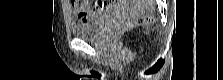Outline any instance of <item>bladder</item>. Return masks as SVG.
Listing matches in <instances>:
<instances>
[{"mask_svg":"<svg viewBox=\"0 0 223 80\" xmlns=\"http://www.w3.org/2000/svg\"><path fill=\"white\" fill-rule=\"evenodd\" d=\"M110 16V12H105L88 21L73 23L71 25L72 34L79 39L95 40L102 33Z\"/></svg>","mask_w":223,"mask_h":80,"instance_id":"bladder-1","label":"bladder"}]
</instances>
